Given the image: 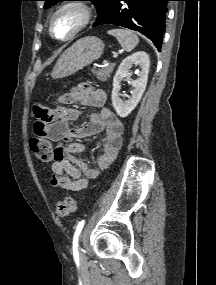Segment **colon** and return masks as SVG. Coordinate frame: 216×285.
<instances>
[{
  "instance_id": "colon-1",
  "label": "colon",
  "mask_w": 216,
  "mask_h": 285,
  "mask_svg": "<svg viewBox=\"0 0 216 285\" xmlns=\"http://www.w3.org/2000/svg\"><path fill=\"white\" fill-rule=\"evenodd\" d=\"M32 153L41 161L49 162L55 158V148L47 136H34L30 140ZM77 209V202L67 197L56 203L55 212L59 217H67Z\"/></svg>"
}]
</instances>
